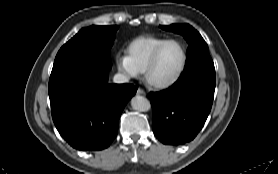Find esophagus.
<instances>
[{
    "instance_id": "esophagus-1",
    "label": "esophagus",
    "mask_w": 278,
    "mask_h": 174,
    "mask_svg": "<svg viewBox=\"0 0 278 174\" xmlns=\"http://www.w3.org/2000/svg\"><path fill=\"white\" fill-rule=\"evenodd\" d=\"M137 94H138V95H143V96H145V95H146V92H145L144 89L138 88V89H137Z\"/></svg>"
}]
</instances>
